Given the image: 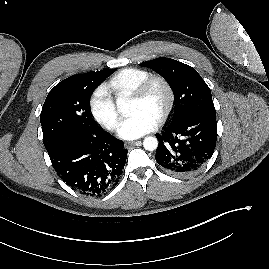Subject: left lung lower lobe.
I'll return each mask as SVG.
<instances>
[{
	"instance_id": "1",
	"label": "left lung lower lobe",
	"mask_w": 269,
	"mask_h": 269,
	"mask_svg": "<svg viewBox=\"0 0 269 269\" xmlns=\"http://www.w3.org/2000/svg\"><path fill=\"white\" fill-rule=\"evenodd\" d=\"M156 161L168 173L190 176L212 157L217 141L216 114H194L158 134Z\"/></svg>"
}]
</instances>
